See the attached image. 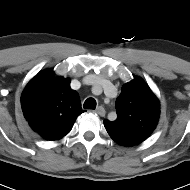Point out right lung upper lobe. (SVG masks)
Returning <instances> with one entry per match:
<instances>
[{
	"label": "right lung upper lobe",
	"mask_w": 190,
	"mask_h": 190,
	"mask_svg": "<svg viewBox=\"0 0 190 190\" xmlns=\"http://www.w3.org/2000/svg\"><path fill=\"white\" fill-rule=\"evenodd\" d=\"M21 105L30 127L50 141L68 134L84 112L78 93L70 88V79L55 77L51 69L30 80L22 93Z\"/></svg>",
	"instance_id": "1"
}]
</instances>
